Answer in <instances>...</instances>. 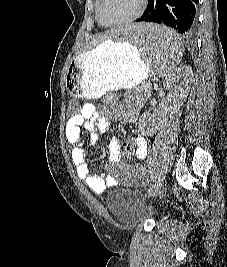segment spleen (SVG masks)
Listing matches in <instances>:
<instances>
[{
  "mask_svg": "<svg viewBox=\"0 0 227 267\" xmlns=\"http://www.w3.org/2000/svg\"><path fill=\"white\" fill-rule=\"evenodd\" d=\"M114 41L137 47L141 59L150 63V77H173L183 55L184 46L172 29L159 22H122Z\"/></svg>",
  "mask_w": 227,
  "mask_h": 267,
  "instance_id": "3e777b00",
  "label": "spleen"
}]
</instances>
